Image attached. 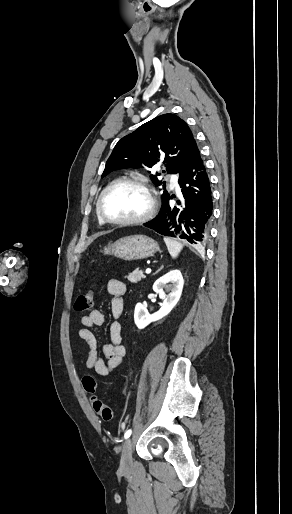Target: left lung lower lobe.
Returning <instances> with one entry per match:
<instances>
[{
  "mask_svg": "<svg viewBox=\"0 0 292 514\" xmlns=\"http://www.w3.org/2000/svg\"><path fill=\"white\" fill-rule=\"evenodd\" d=\"M181 200L170 203L175 195L162 197V206L155 219L143 225L156 232L185 239L201 247L208 238L213 214V197L209 177L196 141L192 143L187 163L179 175Z\"/></svg>",
  "mask_w": 292,
  "mask_h": 514,
  "instance_id": "left-lung-lower-lobe-1",
  "label": "left lung lower lobe"
}]
</instances>
